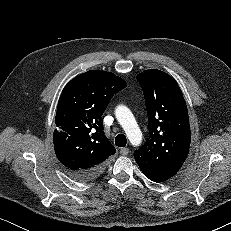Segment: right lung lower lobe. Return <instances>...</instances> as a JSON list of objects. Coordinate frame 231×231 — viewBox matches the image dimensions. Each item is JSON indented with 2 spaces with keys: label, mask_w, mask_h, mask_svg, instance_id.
I'll return each instance as SVG.
<instances>
[{
  "label": "right lung lower lobe",
  "mask_w": 231,
  "mask_h": 231,
  "mask_svg": "<svg viewBox=\"0 0 231 231\" xmlns=\"http://www.w3.org/2000/svg\"><path fill=\"white\" fill-rule=\"evenodd\" d=\"M103 168H97L93 170H88V171H82V172H70L71 177L75 180L79 181H85V180H91L94 177H96Z\"/></svg>",
  "instance_id": "right-lung-lower-lobe-1"
}]
</instances>
